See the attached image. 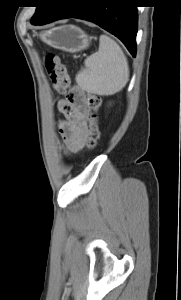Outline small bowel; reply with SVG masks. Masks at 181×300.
<instances>
[{
	"label": "small bowel",
	"mask_w": 181,
	"mask_h": 300,
	"mask_svg": "<svg viewBox=\"0 0 181 300\" xmlns=\"http://www.w3.org/2000/svg\"><path fill=\"white\" fill-rule=\"evenodd\" d=\"M65 102H67V100H61L59 102V109ZM87 112L88 109L86 105L82 104L79 108L74 110V114L71 117H66L67 120L59 123L62 137L61 147L64 151L76 152L82 147L87 129L85 119Z\"/></svg>",
	"instance_id": "obj_1"
}]
</instances>
